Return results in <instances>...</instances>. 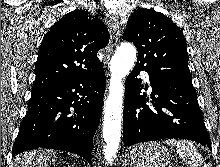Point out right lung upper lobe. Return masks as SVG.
Returning a JSON list of instances; mask_svg holds the SVG:
<instances>
[{"label":"right lung upper lobe","instance_id":"obj_1","mask_svg":"<svg viewBox=\"0 0 220 167\" xmlns=\"http://www.w3.org/2000/svg\"><path fill=\"white\" fill-rule=\"evenodd\" d=\"M104 23L87 10L76 9L59 19L44 35L32 91L66 84L102 66L98 50L107 45Z\"/></svg>","mask_w":220,"mask_h":167}]
</instances>
